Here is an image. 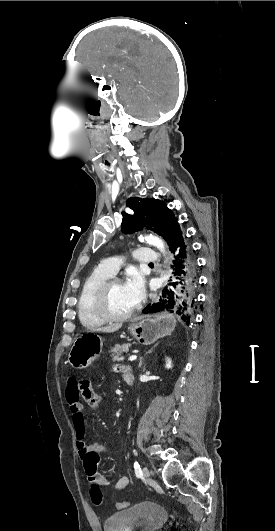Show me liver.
I'll return each instance as SVG.
<instances>
[{"mask_svg":"<svg viewBox=\"0 0 275 531\" xmlns=\"http://www.w3.org/2000/svg\"><path fill=\"white\" fill-rule=\"evenodd\" d=\"M122 323H115V325H110V327H101V329H94V331H102V333H115L121 329Z\"/></svg>","mask_w":275,"mask_h":531,"instance_id":"liver-1","label":"liver"}]
</instances>
